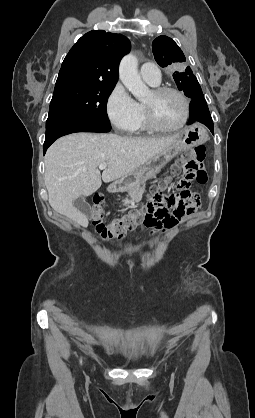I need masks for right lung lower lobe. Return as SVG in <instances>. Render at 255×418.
<instances>
[{
  "label": "right lung lower lobe",
  "mask_w": 255,
  "mask_h": 418,
  "mask_svg": "<svg viewBox=\"0 0 255 418\" xmlns=\"http://www.w3.org/2000/svg\"><path fill=\"white\" fill-rule=\"evenodd\" d=\"M106 127L96 121L76 116L57 115L48 117L46 121V137L43 145L45 154L48 147L59 137L75 132H109Z\"/></svg>",
  "instance_id": "98d812e1"
}]
</instances>
